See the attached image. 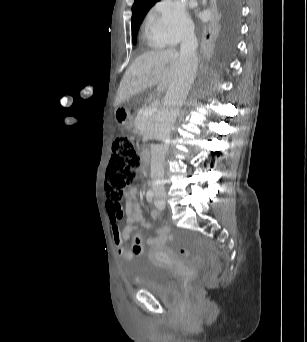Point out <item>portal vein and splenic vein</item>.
Segmentation results:
<instances>
[{
  "mask_svg": "<svg viewBox=\"0 0 307 342\" xmlns=\"http://www.w3.org/2000/svg\"><path fill=\"white\" fill-rule=\"evenodd\" d=\"M160 107V104L158 102H150L149 106H148V111L146 112V115L148 117H151L153 115V112L155 111V109H158Z\"/></svg>",
  "mask_w": 307,
  "mask_h": 342,
  "instance_id": "1",
  "label": "portal vein and splenic vein"
}]
</instances>
